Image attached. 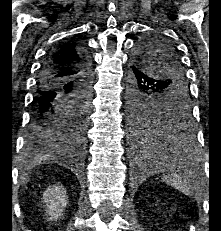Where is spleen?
I'll return each mask as SVG.
<instances>
[{"label": "spleen", "mask_w": 221, "mask_h": 231, "mask_svg": "<svg viewBox=\"0 0 221 231\" xmlns=\"http://www.w3.org/2000/svg\"><path fill=\"white\" fill-rule=\"evenodd\" d=\"M163 181L186 195L190 196L193 194L192 188L189 186L187 179L182 178L180 174L174 173L165 175Z\"/></svg>", "instance_id": "3e777b00"}]
</instances>
